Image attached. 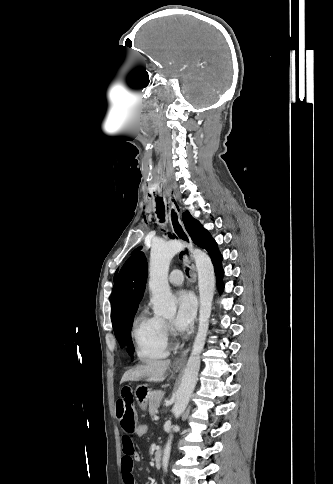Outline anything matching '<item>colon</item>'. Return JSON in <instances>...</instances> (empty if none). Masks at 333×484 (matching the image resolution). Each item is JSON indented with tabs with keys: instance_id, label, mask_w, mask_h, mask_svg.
Here are the masks:
<instances>
[{
	"instance_id": "1",
	"label": "colon",
	"mask_w": 333,
	"mask_h": 484,
	"mask_svg": "<svg viewBox=\"0 0 333 484\" xmlns=\"http://www.w3.org/2000/svg\"><path fill=\"white\" fill-rule=\"evenodd\" d=\"M149 432V425L145 422H139L135 428V436L138 438H144Z\"/></svg>"
}]
</instances>
